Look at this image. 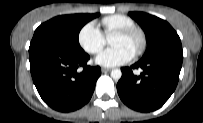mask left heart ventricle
Returning <instances> with one entry per match:
<instances>
[{"label":"left heart ventricle","mask_w":203,"mask_h":123,"mask_svg":"<svg viewBox=\"0 0 203 123\" xmlns=\"http://www.w3.org/2000/svg\"><path fill=\"white\" fill-rule=\"evenodd\" d=\"M110 45L121 46L133 54L140 45V38L135 34L129 36L112 35Z\"/></svg>","instance_id":"b2bd125f"}]
</instances>
